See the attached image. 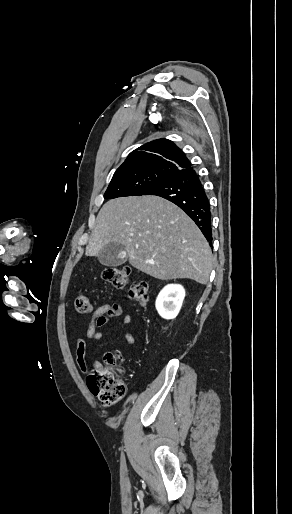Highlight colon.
<instances>
[{"label": "colon", "instance_id": "colon-1", "mask_svg": "<svg viewBox=\"0 0 292 514\" xmlns=\"http://www.w3.org/2000/svg\"><path fill=\"white\" fill-rule=\"evenodd\" d=\"M128 267H110L101 272V278L116 289L126 286L129 277ZM129 299L140 305L149 301V290L146 281H135L131 284ZM76 309L79 314L87 315L91 312V303L87 295L79 294L76 298ZM122 361V355L117 351H109L104 355L103 363L87 376V385L90 391L106 407H112L121 402L125 396V385L114 370Z\"/></svg>", "mask_w": 292, "mask_h": 514}]
</instances>
